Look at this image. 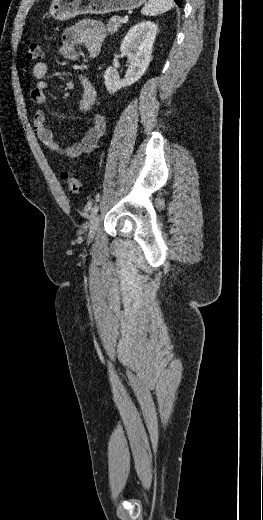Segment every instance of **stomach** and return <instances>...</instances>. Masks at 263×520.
Returning <instances> with one entry per match:
<instances>
[{"label": "stomach", "mask_w": 263, "mask_h": 520, "mask_svg": "<svg viewBox=\"0 0 263 520\" xmlns=\"http://www.w3.org/2000/svg\"><path fill=\"white\" fill-rule=\"evenodd\" d=\"M146 0H52L49 15L66 21L82 14H107L140 7Z\"/></svg>", "instance_id": "obj_1"}]
</instances>
